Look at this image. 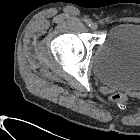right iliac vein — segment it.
Segmentation results:
<instances>
[{
    "label": "right iliac vein",
    "mask_w": 140,
    "mask_h": 140,
    "mask_svg": "<svg viewBox=\"0 0 140 140\" xmlns=\"http://www.w3.org/2000/svg\"><path fill=\"white\" fill-rule=\"evenodd\" d=\"M90 28H91V30L95 31V30L98 29V24L95 23V22H93V23L91 24Z\"/></svg>",
    "instance_id": "obj_1"
}]
</instances>
